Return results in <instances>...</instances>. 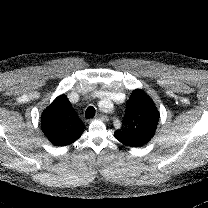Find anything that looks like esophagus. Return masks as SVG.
Instances as JSON below:
<instances>
[{
  "label": "esophagus",
  "mask_w": 208,
  "mask_h": 208,
  "mask_svg": "<svg viewBox=\"0 0 208 208\" xmlns=\"http://www.w3.org/2000/svg\"><path fill=\"white\" fill-rule=\"evenodd\" d=\"M95 119H97V120H102V121H107V120H108L107 116L102 115V114L96 115V116H95Z\"/></svg>",
  "instance_id": "34e87169"
}]
</instances>
